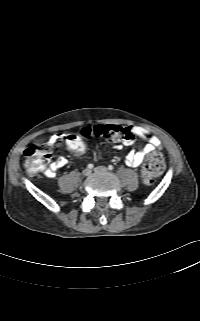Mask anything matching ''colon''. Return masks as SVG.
I'll return each mask as SVG.
<instances>
[{
    "instance_id": "5ec220e1",
    "label": "colon",
    "mask_w": 200,
    "mask_h": 321,
    "mask_svg": "<svg viewBox=\"0 0 200 321\" xmlns=\"http://www.w3.org/2000/svg\"><path fill=\"white\" fill-rule=\"evenodd\" d=\"M104 138L112 143L129 145L134 141L135 134L130 127L120 125H95L82 128L78 133L67 137L66 146L75 155H81L86 150L83 138ZM25 166L30 173H37L49 162L51 147L47 145L30 146L24 152ZM164 170V159L159 153L148 156L143 168L142 177L146 184L153 183Z\"/></svg>"
}]
</instances>
